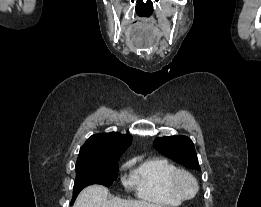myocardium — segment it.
<instances>
[{
    "label": "myocardium",
    "mask_w": 261,
    "mask_h": 207,
    "mask_svg": "<svg viewBox=\"0 0 261 207\" xmlns=\"http://www.w3.org/2000/svg\"><path fill=\"white\" fill-rule=\"evenodd\" d=\"M184 180H189L193 184V191L191 193L186 192V190L184 189ZM170 186L173 192L182 200L193 199L199 191V184L195 176L190 172L182 169H178L173 173L170 179Z\"/></svg>",
    "instance_id": "f54148a6"
}]
</instances>
